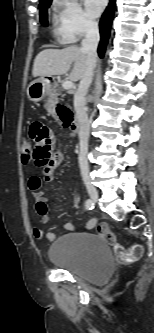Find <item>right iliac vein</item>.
Here are the masks:
<instances>
[{"label":"right iliac vein","mask_w":154,"mask_h":333,"mask_svg":"<svg viewBox=\"0 0 154 333\" xmlns=\"http://www.w3.org/2000/svg\"><path fill=\"white\" fill-rule=\"evenodd\" d=\"M84 183L90 198L92 199L93 202H96L99 197L97 189L95 188L94 185H92L89 178H85Z\"/></svg>","instance_id":"1"}]
</instances>
